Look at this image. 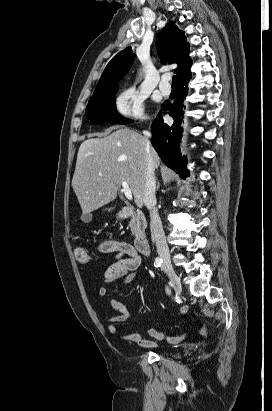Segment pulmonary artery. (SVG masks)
<instances>
[{"mask_svg": "<svg viewBox=\"0 0 272 411\" xmlns=\"http://www.w3.org/2000/svg\"><path fill=\"white\" fill-rule=\"evenodd\" d=\"M169 78H170L169 74H164L159 84V89L163 95H169L171 92V86L168 83Z\"/></svg>", "mask_w": 272, "mask_h": 411, "instance_id": "e3ab8cb5", "label": "pulmonary artery"}]
</instances>
